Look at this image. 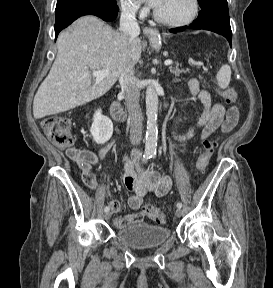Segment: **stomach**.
Wrapping results in <instances>:
<instances>
[{"mask_svg":"<svg viewBox=\"0 0 273 288\" xmlns=\"http://www.w3.org/2000/svg\"><path fill=\"white\" fill-rule=\"evenodd\" d=\"M151 46L156 50L160 49V47H161L160 38H157L156 40L151 41Z\"/></svg>","mask_w":273,"mask_h":288,"instance_id":"stomach-1","label":"stomach"}]
</instances>
